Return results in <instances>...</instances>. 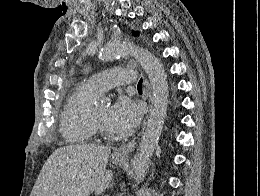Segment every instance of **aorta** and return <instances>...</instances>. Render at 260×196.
Masks as SVG:
<instances>
[{
    "label": "aorta",
    "mask_w": 260,
    "mask_h": 196,
    "mask_svg": "<svg viewBox=\"0 0 260 196\" xmlns=\"http://www.w3.org/2000/svg\"><path fill=\"white\" fill-rule=\"evenodd\" d=\"M128 55L134 56L147 73L153 94L152 108L142 133L139 150L132 159L133 176L135 181L140 183L149 170L152 154L161 135L167 114L169 89L162 64L148 50L139 48L132 43L113 42L99 52V58L103 62Z\"/></svg>",
    "instance_id": "obj_1"
}]
</instances>
